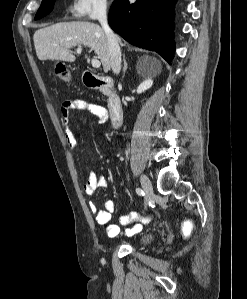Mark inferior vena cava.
<instances>
[{
	"label": "inferior vena cava",
	"mask_w": 247,
	"mask_h": 299,
	"mask_svg": "<svg viewBox=\"0 0 247 299\" xmlns=\"http://www.w3.org/2000/svg\"><path fill=\"white\" fill-rule=\"evenodd\" d=\"M98 20L108 39L112 71L114 74H119L121 70V49L117 37L108 24L106 7L100 9Z\"/></svg>",
	"instance_id": "obj_1"
}]
</instances>
